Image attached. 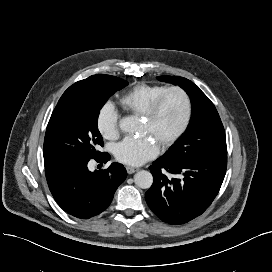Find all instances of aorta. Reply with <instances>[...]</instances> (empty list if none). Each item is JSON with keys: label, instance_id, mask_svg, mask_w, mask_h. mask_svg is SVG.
<instances>
[{"label": "aorta", "instance_id": "762f6f07", "mask_svg": "<svg viewBox=\"0 0 272 272\" xmlns=\"http://www.w3.org/2000/svg\"><path fill=\"white\" fill-rule=\"evenodd\" d=\"M136 122L132 117H124L119 122V128L123 132H133ZM135 184L142 189H148L152 186L153 176L149 171L141 170L134 175Z\"/></svg>", "mask_w": 272, "mask_h": 272}]
</instances>
